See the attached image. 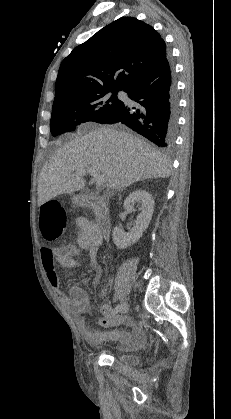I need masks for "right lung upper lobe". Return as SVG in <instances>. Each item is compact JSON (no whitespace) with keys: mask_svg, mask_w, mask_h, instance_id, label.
Wrapping results in <instances>:
<instances>
[{"mask_svg":"<svg viewBox=\"0 0 231 419\" xmlns=\"http://www.w3.org/2000/svg\"><path fill=\"white\" fill-rule=\"evenodd\" d=\"M167 57L156 30L134 17H121L62 61L54 103L105 89L124 90Z\"/></svg>","mask_w":231,"mask_h":419,"instance_id":"obj_1","label":"right lung upper lobe"}]
</instances>
